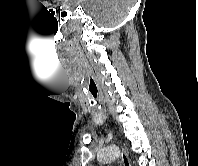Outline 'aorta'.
I'll return each instance as SVG.
<instances>
[{"instance_id": "762f6f07", "label": "aorta", "mask_w": 198, "mask_h": 166, "mask_svg": "<svg viewBox=\"0 0 198 166\" xmlns=\"http://www.w3.org/2000/svg\"><path fill=\"white\" fill-rule=\"evenodd\" d=\"M120 156V150L117 146H108L98 153L100 163H108L116 160Z\"/></svg>"}]
</instances>
